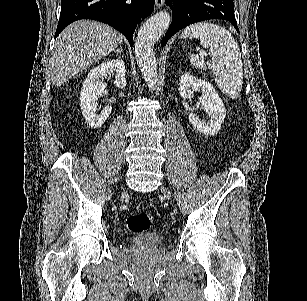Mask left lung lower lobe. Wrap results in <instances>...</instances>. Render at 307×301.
I'll use <instances>...</instances> for the list:
<instances>
[{
	"instance_id": "0a47b994",
	"label": "left lung lower lobe",
	"mask_w": 307,
	"mask_h": 301,
	"mask_svg": "<svg viewBox=\"0 0 307 301\" xmlns=\"http://www.w3.org/2000/svg\"><path fill=\"white\" fill-rule=\"evenodd\" d=\"M166 4L172 9L173 18L166 35L161 40L162 46L182 28L203 20H227L239 32L232 0H166Z\"/></svg>"
}]
</instances>
